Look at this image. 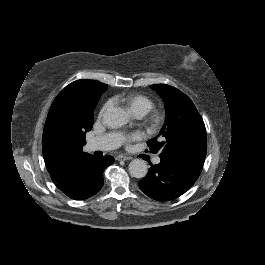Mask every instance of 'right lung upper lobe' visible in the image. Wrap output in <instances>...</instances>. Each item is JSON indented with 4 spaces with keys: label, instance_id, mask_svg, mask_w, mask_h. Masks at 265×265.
I'll return each instance as SVG.
<instances>
[{
    "label": "right lung upper lobe",
    "instance_id": "cb5924a9",
    "mask_svg": "<svg viewBox=\"0 0 265 265\" xmlns=\"http://www.w3.org/2000/svg\"><path fill=\"white\" fill-rule=\"evenodd\" d=\"M107 85L94 80H77L66 86L49 110L42 136L46 168L54 183L63 181L75 166L88 156L83 152L78 127L77 109L85 99L105 92Z\"/></svg>",
    "mask_w": 265,
    "mask_h": 265
}]
</instances>
